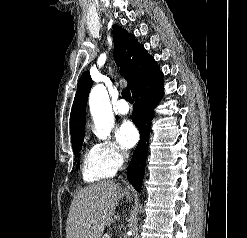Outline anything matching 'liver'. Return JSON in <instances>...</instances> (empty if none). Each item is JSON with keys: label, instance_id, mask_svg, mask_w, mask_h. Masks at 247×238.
I'll return each mask as SVG.
<instances>
[{"label": "liver", "instance_id": "liver-1", "mask_svg": "<svg viewBox=\"0 0 247 238\" xmlns=\"http://www.w3.org/2000/svg\"><path fill=\"white\" fill-rule=\"evenodd\" d=\"M128 191L113 181L85 187L74 196L70 206L66 238H101L120 199Z\"/></svg>", "mask_w": 247, "mask_h": 238}]
</instances>
